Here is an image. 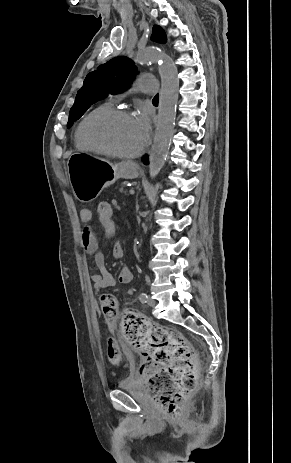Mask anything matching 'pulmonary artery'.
Segmentation results:
<instances>
[{"instance_id": "e3ab8cb5", "label": "pulmonary artery", "mask_w": 291, "mask_h": 463, "mask_svg": "<svg viewBox=\"0 0 291 463\" xmlns=\"http://www.w3.org/2000/svg\"><path fill=\"white\" fill-rule=\"evenodd\" d=\"M133 91H140L142 93L148 94V95H156L158 92V84L156 79L153 76L150 75H141L134 87ZM122 95L116 96V99L119 100L121 99Z\"/></svg>"}]
</instances>
